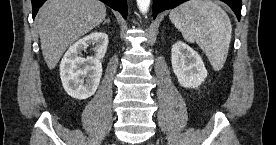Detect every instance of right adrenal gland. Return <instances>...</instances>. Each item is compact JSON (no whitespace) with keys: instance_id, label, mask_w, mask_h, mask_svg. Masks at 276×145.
<instances>
[{"instance_id":"1","label":"right adrenal gland","mask_w":276,"mask_h":145,"mask_svg":"<svg viewBox=\"0 0 276 145\" xmlns=\"http://www.w3.org/2000/svg\"><path fill=\"white\" fill-rule=\"evenodd\" d=\"M109 22H110V20H109V19H106V20L103 22V24L109 23Z\"/></svg>"}]
</instances>
